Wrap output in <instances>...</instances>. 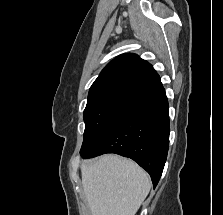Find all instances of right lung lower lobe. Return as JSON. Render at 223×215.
Here are the masks:
<instances>
[{
	"label": "right lung lower lobe",
	"instance_id": "98d812e1",
	"mask_svg": "<svg viewBox=\"0 0 223 215\" xmlns=\"http://www.w3.org/2000/svg\"><path fill=\"white\" fill-rule=\"evenodd\" d=\"M168 100L164 88L132 107L83 158L115 153L136 161L159 182L169 144Z\"/></svg>",
	"mask_w": 223,
	"mask_h": 215
}]
</instances>
